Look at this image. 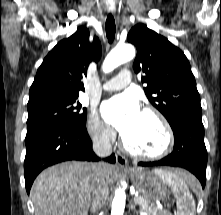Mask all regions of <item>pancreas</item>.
I'll return each mask as SVG.
<instances>
[{
    "mask_svg": "<svg viewBox=\"0 0 221 215\" xmlns=\"http://www.w3.org/2000/svg\"><path fill=\"white\" fill-rule=\"evenodd\" d=\"M141 199V203H139L140 209L144 212L149 213V215H172L171 213L165 210H159L153 203L145 199L144 197H138Z\"/></svg>",
    "mask_w": 221,
    "mask_h": 215,
    "instance_id": "1",
    "label": "pancreas"
}]
</instances>
